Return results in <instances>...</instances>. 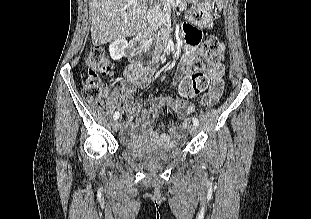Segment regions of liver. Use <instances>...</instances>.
I'll list each match as a JSON object with an SVG mask.
<instances>
[{
  "instance_id": "liver-1",
  "label": "liver",
  "mask_w": 311,
  "mask_h": 219,
  "mask_svg": "<svg viewBox=\"0 0 311 219\" xmlns=\"http://www.w3.org/2000/svg\"><path fill=\"white\" fill-rule=\"evenodd\" d=\"M95 46L135 35L144 23L146 0H89Z\"/></svg>"
}]
</instances>
